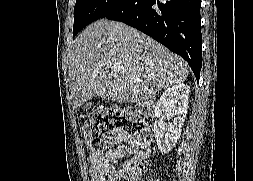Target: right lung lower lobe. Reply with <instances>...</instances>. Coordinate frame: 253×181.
Here are the masks:
<instances>
[{
  "label": "right lung lower lobe",
  "instance_id": "obj_1",
  "mask_svg": "<svg viewBox=\"0 0 253 181\" xmlns=\"http://www.w3.org/2000/svg\"><path fill=\"white\" fill-rule=\"evenodd\" d=\"M201 0H127L106 16L124 22L183 57L197 81L202 66Z\"/></svg>",
  "mask_w": 253,
  "mask_h": 181
}]
</instances>
